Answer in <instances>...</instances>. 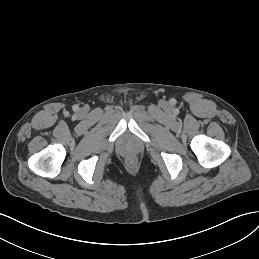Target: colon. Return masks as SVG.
I'll list each match as a JSON object with an SVG mask.
<instances>
[{"mask_svg": "<svg viewBox=\"0 0 259 259\" xmlns=\"http://www.w3.org/2000/svg\"><path fill=\"white\" fill-rule=\"evenodd\" d=\"M128 162H129V163H134V162H135V159H134L133 157H129V158H128Z\"/></svg>", "mask_w": 259, "mask_h": 259, "instance_id": "1", "label": "colon"}]
</instances>
